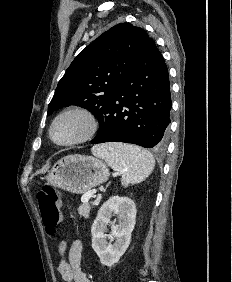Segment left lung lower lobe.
I'll return each instance as SVG.
<instances>
[{"instance_id":"obj_1","label":"left lung lower lobe","mask_w":232,"mask_h":282,"mask_svg":"<svg viewBox=\"0 0 232 282\" xmlns=\"http://www.w3.org/2000/svg\"><path fill=\"white\" fill-rule=\"evenodd\" d=\"M172 107L167 66L150 38L120 86L92 144L124 142L161 149L168 142Z\"/></svg>"}]
</instances>
